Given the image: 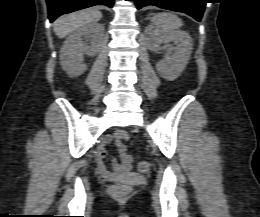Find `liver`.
<instances>
[{"mask_svg":"<svg viewBox=\"0 0 260 217\" xmlns=\"http://www.w3.org/2000/svg\"><path fill=\"white\" fill-rule=\"evenodd\" d=\"M101 17L102 13L95 8L70 13L54 22V32L59 38H63L81 26L100 20Z\"/></svg>","mask_w":260,"mask_h":217,"instance_id":"obj_1","label":"liver"}]
</instances>
